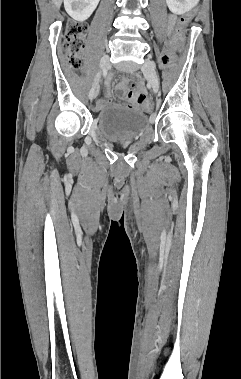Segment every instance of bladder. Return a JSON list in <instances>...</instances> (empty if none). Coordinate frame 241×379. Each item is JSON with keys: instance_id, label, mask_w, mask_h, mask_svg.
I'll use <instances>...</instances> for the list:
<instances>
[{"instance_id": "bladder-1", "label": "bladder", "mask_w": 241, "mask_h": 379, "mask_svg": "<svg viewBox=\"0 0 241 379\" xmlns=\"http://www.w3.org/2000/svg\"><path fill=\"white\" fill-rule=\"evenodd\" d=\"M97 128L106 139L114 142L133 141L148 127V118L138 108L122 105L102 110L96 117Z\"/></svg>"}]
</instances>
